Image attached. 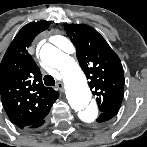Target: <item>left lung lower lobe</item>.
Segmentation results:
<instances>
[{
	"label": "left lung lower lobe",
	"instance_id": "left-lung-lower-lobe-1",
	"mask_svg": "<svg viewBox=\"0 0 147 147\" xmlns=\"http://www.w3.org/2000/svg\"><path fill=\"white\" fill-rule=\"evenodd\" d=\"M118 111H108V112H101L99 117L97 118V122H105L113 118Z\"/></svg>",
	"mask_w": 147,
	"mask_h": 147
}]
</instances>
